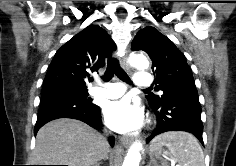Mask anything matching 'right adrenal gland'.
<instances>
[{"instance_id": "1", "label": "right adrenal gland", "mask_w": 236, "mask_h": 166, "mask_svg": "<svg viewBox=\"0 0 236 166\" xmlns=\"http://www.w3.org/2000/svg\"><path fill=\"white\" fill-rule=\"evenodd\" d=\"M93 166H100V164L99 163H96L95 165H93Z\"/></svg>"}]
</instances>
